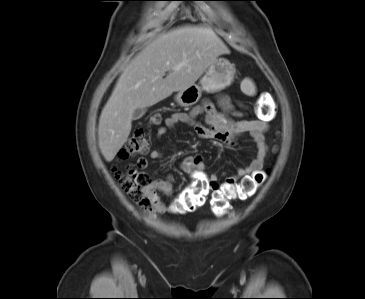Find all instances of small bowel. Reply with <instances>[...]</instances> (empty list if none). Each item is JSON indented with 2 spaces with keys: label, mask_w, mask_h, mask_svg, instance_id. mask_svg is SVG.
Wrapping results in <instances>:
<instances>
[{
  "label": "small bowel",
  "mask_w": 365,
  "mask_h": 299,
  "mask_svg": "<svg viewBox=\"0 0 365 299\" xmlns=\"http://www.w3.org/2000/svg\"><path fill=\"white\" fill-rule=\"evenodd\" d=\"M220 106L224 113L216 110L214 105L210 102H204L195 106L188 113H174L165 118L163 125L156 130L157 136L161 137L166 132L175 127L178 123H186L193 127L195 133L204 139H212L223 142L228 146L236 144V137L241 134H248L255 144V156L252 161L245 167L238 168L235 174L226 179V183L236 182L238 179L259 172L264 164L268 152V146L265 141L264 133L268 129V122L264 119H246L234 121L227 117L233 109V103L228 97L220 98ZM199 116L204 117V122L197 120ZM153 160L162 158V154L158 150H152L149 154ZM137 165L141 169L148 166L146 158L141 157L137 161ZM180 168L191 174L197 181L217 184L219 177L216 174L208 175L205 171V165L201 156H187L181 163ZM173 178L168 176L166 178L154 179L150 187L154 198V211L156 213L174 212L173 206L166 205L157 195L156 191L164 194H171Z\"/></svg>",
  "instance_id": "small-bowel-1"
}]
</instances>
